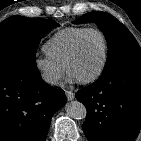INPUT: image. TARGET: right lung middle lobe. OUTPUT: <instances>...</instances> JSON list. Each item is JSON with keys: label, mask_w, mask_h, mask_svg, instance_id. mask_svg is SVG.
I'll use <instances>...</instances> for the list:
<instances>
[{"label": "right lung middle lobe", "mask_w": 141, "mask_h": 141, "mask_svg": "<svg viewBox=\"0 0 141 141\" xmlns=\"http://www.w3.org/2000/svg\"><path fill=\"white\" fill-rule=\"evenodd\" d=\"M59 24L42 18L12 16L0 24V68L37 69L35 53L43 35Z\"/></svg>", "instance_id": "obj_1"}]
</instances>
